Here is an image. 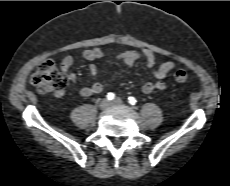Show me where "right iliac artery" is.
Returning a JSON list of instances; mask_svg holds the SVG:
<instances>
[{
    "mask_svg": "<svg viewBox=\"0 0 230 186\" xmlns=\"http://www.w3.org/2000/svg\"><path fill=\"white\" fill-rule=\"evenodd\" d=\"M106 97L108 100H113L115 98V94L112 92H109Z\"/></svg>",
    "mask_w": 230,
    "mask_h": 186,
    "instance_id": "1",
    "label": "right iliac artery"
}]
</instances>
